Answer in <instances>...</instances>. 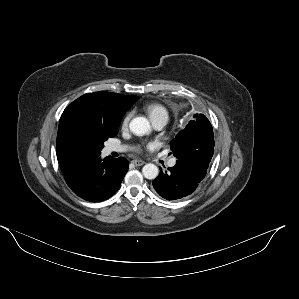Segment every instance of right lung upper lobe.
<instances>
[{
    "instance_id": "obj_1",
    "label": "right lung upper lobe",
    "mask_w": 299,
    "mask_h": 299,
    "mask_svg": "<svg viewBox=\"0 0 299 299\" xmlns=\"http://www.w3.org/2000/svg\"><path fill=\"white\" fill-rule=\"evenodd\" d=\"M137 99V96L94 92L84 94L66 107L60 117L56 144L63 174L73 171L88 157L100 154L101 150L86 133L85 124L119 127L123 115Z\"/></svg>"
}]
</instances>
